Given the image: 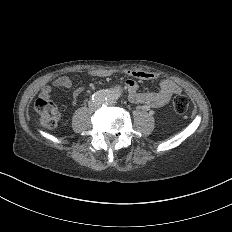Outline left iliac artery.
Instances as JSON below:
<instances>
[{
  "label": "left iliac artery",
  "mask_w": 232,
  "mask_h": 232,
  "mask_svg": "<svg viewBox=\"0 0 232 232\" xmlns=\"http://www.w3.org/2000/svg\"><path fill=\"white\" fill-rule=\"evenodd\" d=\"M118 100V95L117 93L110 91L106 97V102L108 105L113 106L116 104Z\"/></svg>",
  "instance_id": "1"
}]
</instances>
